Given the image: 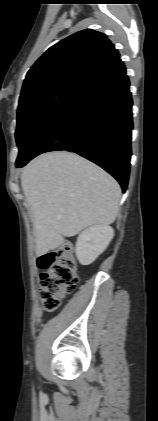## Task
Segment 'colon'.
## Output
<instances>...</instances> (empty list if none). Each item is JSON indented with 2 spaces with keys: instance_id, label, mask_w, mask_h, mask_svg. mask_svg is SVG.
I'll return each mask as SVG.
<instances>
[{
  "instance_id": "colon-1",
  "label": "colon",
  "mask_w": 158,
  "mask_h": 421,
  "mask_svg": "<svg viewBox=\"0 0 158 421\" xmlns=\"http://www.w3.org/2000/svg\"><path fill=\"white\" fill-rule=\"evenodd\" d=\"M38 266L43 270L40 276V299L45 310L53 311L75 290L79 282L72 246L63 244L41 255Z\"/></svg>"
}]
</instances>
